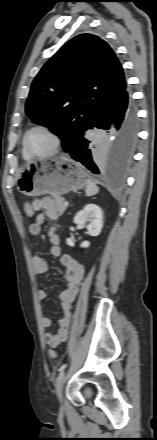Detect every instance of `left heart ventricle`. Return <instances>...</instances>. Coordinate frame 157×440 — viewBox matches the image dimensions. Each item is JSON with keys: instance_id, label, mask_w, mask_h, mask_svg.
Instances as JSON below:
<instances>
[{"instance_id": "b2bd125f", "label": "left heart ventricle", "mask_w": 157, "mask_h": 440, "mask_svg": "<svg viewBox=\"0 0 157 440\" xmlns=\"http://www.w3.org/2000/svg\"><path fill=\"white\" fill-rule=\"evenodd\" d=\"M27 146L32 154H46L51 150L53 140L46 132L35 130L29 134Z\"/></svg>"}]
</instances>
